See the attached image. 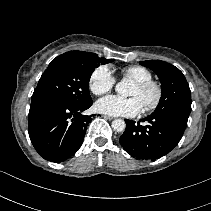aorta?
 Masks as SVG:
<instances>
[{
  "label": "aorta",
  "mask_w": 211,
  "mask_h": 211,
  "mask_svg": "<svg viewBox=\"0 0 211 211\" xmlns=\"http://www.w3.org/2000/svg\"><path fill=\"white\" fill-rule=\"evenodd\" d=\"M115 91L121 95H123L126 92V83L119 82L116 87ZM126 124L125 121L122 119H115L112 122V128L117 132H122L125 130Z\"/></svg>",
  "instance_id": "obj_1"
}]
</instances>
